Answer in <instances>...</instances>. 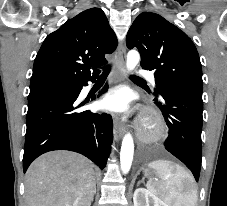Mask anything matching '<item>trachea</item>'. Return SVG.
I'll list each match as a JSON object with an SVG mask.
<instances>
[{"label":"trachea","mask_w":227,"mask_h":206,"mask_svg":"<svg viewBox=\"0 0 227 206\" xmlns=\"http://www.w3.org/2000/svg\"><path fill=\"white\" fill-rule=\"evenodd\" d=\"M110 72V66H107V67H104L103 68V73L101 74L100 78H105L108 76ZM131 78L134 79V80H140V81H143L142 78L136 76V75H131Z\"/></svg>","instance_id":"trachea-1"}]
</instances>
